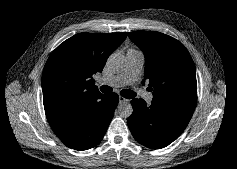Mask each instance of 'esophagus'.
Masks as SVG:
<instances>
[{
	"mask_svg": "<svg viewBox=\"0 0 237 169\" xmlns=\"http://www.w3.org/2000/svg\"><path fill=\"white\" fill-rule=\"evenodd\" d=\"M119 100H120L121 103H125V102L128 101V100H127L126 98H124V97H120Z\"/></svg>",
	"mask_w": 237,
	"mask_h": 169,
	"instance_id": "1",
	"label": "esophagus"
}]
</instances>
